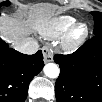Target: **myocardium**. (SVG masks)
Returning a JSON list of instances; mask_svg holds the SVG:
<instances>
[{
    "mask_svg": "<svg viewBox=\"0 0 102 102\" xmlns=\"http://www.w3.org/2000/svg\"><path fill=\"white\" fill-rule=\"evenodd\" d=\"M80 31V34L77 35V32ZM87 35L86 25H76L72 26L61 38L60 46L66 51H73L78 47V45L84 40Z\"/></svg>",
    "mask_w": 102,
    "mask_h": 102,
    "instance_id": "f54148a6",
    "label": "myocardium"
}]
</instances>
